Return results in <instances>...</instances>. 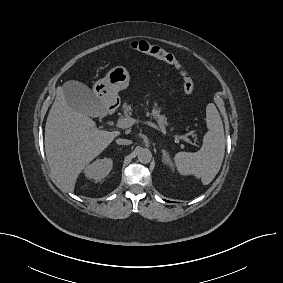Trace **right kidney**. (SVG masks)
Returning a JSON list of instances; mask_svg holds the SVG:
<instances>
[{
    "mask_svg": "<svg viewBox=\"0 0 283 283\" xmlns=\"http://www.w3.org/2000/svg\"><path fill=\"white\" fill-rule=\"evenodd\" d=\"M112 167L113 161L111 158L97 159L84 168V174L89 179L101 181L110 173Z\"/></svg>",
    "mask_w": 283,
    "mask_h": 283,
    "instance_id": "obj_1",
    "label": "right kidney"
}]
</instances>
